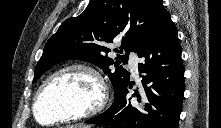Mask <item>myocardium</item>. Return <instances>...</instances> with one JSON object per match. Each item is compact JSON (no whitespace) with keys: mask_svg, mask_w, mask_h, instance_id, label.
Here are the masks:
<instances>
[{"mask_svg":"<svg viewBox=\"0 0 221 128\" xmlns=\"http://www.w3.org/2000/svg\"><path fill=\"white\" fill-rule=\"evenodd\" d=\"M69 71H79L82 72L86 75H88L94 82L95 85V92L94 96L90 102L89 105H87L84 109H82L79 112L76 113H69L64 116L58 117L51 122L48 123H42L39 121L37 117V105L39 103V100L41 98V95L48 85V83L59 76L62 73L69 72ZM108 100V91L107 87L105 84V81L102 77V75L92 66L83 64V63H73L70 65H66L55 72L51 73L49 76H47L43 82L40 84L33 100V115L36 119V121L40 124L44 125H56V124H61V123H69V122H74L78 121L80 119H83L85 117L93 116L101 112Z\"/></svg>","mask_w":221,"mask_h":128,"instance_id":"1","label":"myocardium"}]
</instances>
